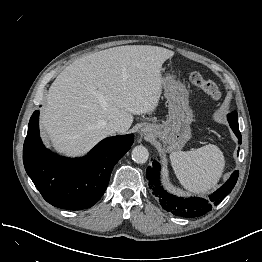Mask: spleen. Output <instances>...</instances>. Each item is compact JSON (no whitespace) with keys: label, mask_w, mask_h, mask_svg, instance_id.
<instances>
[{"label":"spleen","mask_w":262,"mask_h":262,"mask_svg":"<svg viewBox=\"0 0 262 262\" xmlns=\"http://www.w3.org/2000/svg\"><path fill=\"white\" fill-rule=\"evenodd\" d=\"M170 160L181 185L193 193H205L214 188L225 167L222 151L212 144L192 151H174Z\"/></svg>","instance_id":"3e777b00"}]
</instances>
